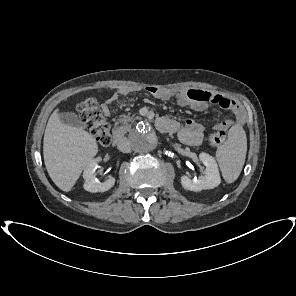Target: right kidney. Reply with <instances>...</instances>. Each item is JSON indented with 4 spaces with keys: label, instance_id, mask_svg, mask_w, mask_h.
Segmentation results:
<instances>
[{
    "label": "right kidney",
    "instance_id": "1",
    "mask_svg": "<svg viewBox=\"0 0 296 296\" xmlns=\"http://www.w3.org/2000/svg\"><path fill=\"white\" fill-rule=\"evenodd\" d=\"M102 161L101 157H97L91 160L84 169L83 178L85 183L83 185L86 191L95 192H105L111 189L115 184V178L109 177L105 182H100L96 178V169L98 168V163Z\"/></svg>",
    "mask_w": 296,
    "mask_h": 296
}]
</instances>
